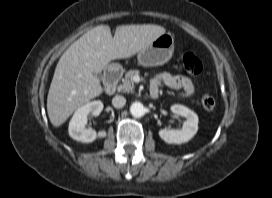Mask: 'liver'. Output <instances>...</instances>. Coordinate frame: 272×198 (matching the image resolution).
<instances>
[{
	"mask_svg": "<svg viewBox=\"0 0 272 198\" xmlns=\"http://www.w3.org/2000/svg\"><path fill=\"white\" fill-rule=\"evenodd\" d=\"M164 27L122 25L112 37L108 25H99L84 33L61 56L47 97V112L53 126H61L72 113L103 88L95 74L102 72L111 60L126 59L147 48Z\"/></svg>",
	"mask_w": 272,
	"mask_h": 198,
	"instance_id": "obj_1",
	"label": "liver"
}]
</instances>
